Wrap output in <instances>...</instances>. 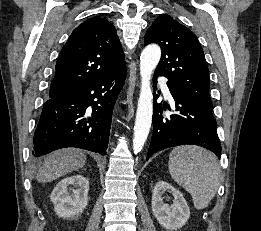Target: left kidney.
<instances>
[{
  "label": "left kidney",
  "mask_w": 261,
  "mask_h": 231,
  "mask_svg": "<svg viewBox=\"0 0 261 231\" xmlns=\"http://www.w3.org/2000/svg\"><path fill=\"white\" fill-rule=\"evenodd\" d=\"M167 192L174 197L171 205L163 202L162 195ZM152 212L159 224L167 230L181 228L190 217V210L182 193L165 181L155 184L152 194Z\"/></svg>",
  "instance_id": "obj_1"
}]
</instances>
